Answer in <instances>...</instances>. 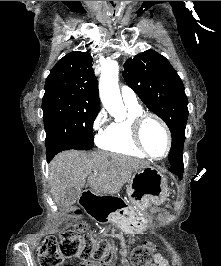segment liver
<instances>
[{
    "label": "liver",
    "instance_id": "liver-1",
    "mask_svg": "<svg viewBox=\"0 0 221 266\" xmlns=\"http://www.w3.org/2000/svg\"><path fill=\"white\" fill-rule=\"evenodd\" d=\"M146 166H149L148 162L130 156L69 150L57 154L51 161L49 185L56 202L67 189H82L87 177L91 189H108L116 194L134 172Z\"/></svg>",
    "mask_w": 221,
    "mask_h": 266
}]
</instances>
